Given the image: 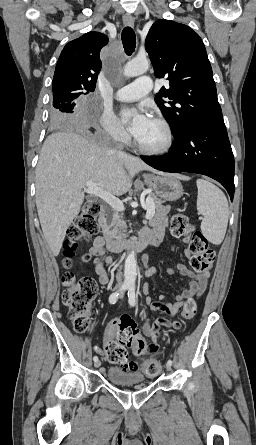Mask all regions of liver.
<instances>
[{
  "mask_svg": "<svg viewBox=\"0 0 256 445\" xmlns=\"http://www.w3.org/2000/svg\"><path fill=\"white\" fill-rule=\"evenodd\" d=\"M143 170L165 175L139 158L81 134L56 132L48 136L36 167V206L53 255L59 254L66 230L80 212L87 181L120 196L130 190L135 174Z\"/></svg>",
  "mask_w": 256,
  "mask_h": 445,
  "instance_id": "6515ba94",
  "label": "liver"
}]
</instances>
